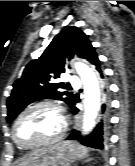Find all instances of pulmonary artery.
<instances>
[{"label": "pulmonary artery", "mask_w": 135, "mask_h": 166, "mask_svg": "<svg viewBox=\"0 0 135 166\" xmlns=\"http://www.w3.org/2000/svg\"><path fill=\"white\" fill-rule=\"evenodd\" d=\"M69 82L72 86H78L80 84V81L74 76L69 77Z\"/></svg>", "instance_id": "1"}]
</instances>
